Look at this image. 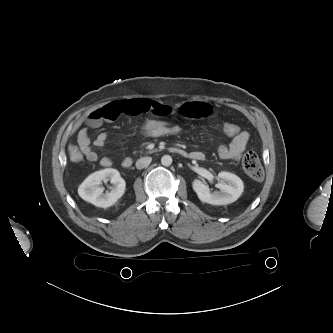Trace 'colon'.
Instances as JSON below:
<instances>
[{"label":"colon","mask_w":333,"mask_h":333,"mask_svg":"<svg viewBox=\"0 0 333 333\" xmlns=\"http://www.w3.org/2000/svg\"><path fill=\"white\" fill-rule=\"evenodd\" d=\"M223 134L228 137L234 138L240 133L238 125L225 122L221 126ZM189 129L183 124L172 120H155L146 121L138 128V135L141 138H160V137H180L188 134ZM70 158L74 162H79L83 159L80 150L71 146L69 148ZM242 166L244 171L254 180H261L264 176V170L258 155L254 151L245 153L242 159Z\"/></svg>","instance_id":"1"}]
</instances>
